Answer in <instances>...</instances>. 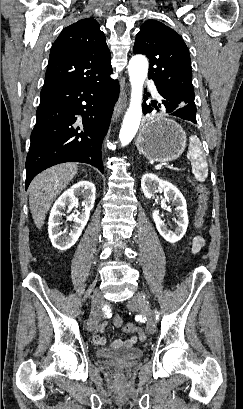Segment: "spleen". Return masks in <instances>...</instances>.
<instances>
[{"mask_svg":"<svg viewBox=\"0 0 243 409\" xmlns=\"http://www.w3.org/2000/svg\"><path fill=\"white\" fill-rule=\"evenodd\" d=\"M188 158L191 159L192 173L195 179L204 182L208 176V164L203 157L201 142L196 135L189 137Z\"/></svg>","mask_w":243,"mask_h":409,"instance_id":"obj_1","label":"spleen"}]
</instances>
